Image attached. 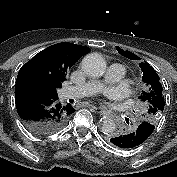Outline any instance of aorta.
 <instances>
[{
	"instance_id": "aorta-1",
	"label": "aorta",
	"mask_w": 177,
	"mask_h": 177,
	"mask_svg": "<svg viewBox=\"0 0 177 177\" xmlns=\"http://www.w3.org/2000/svg\"><path fill=\"white\" fill-rule=\"evenodd\" d=\"M81 67L84 73L91 77H100L106 70V61L98 53H90L86 55L82 62ZM116 129V123L113 119L105 117L102 120L101 131L105 134H112Z\"/></svg>"
}]
</instances>
